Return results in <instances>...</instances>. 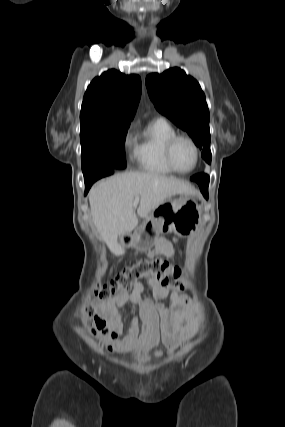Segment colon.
I'll use <instances>...</instances> for the list:
<instances>
[{"instance_id":"obj_1","label":"colon","mask_w":285,"mask_h":427,"mask_svg":"<svg viewBox=\"0 0 285 427\" xmlns=\"http://www.w3.org/2000/svg\"><path fill=\"white\" fill-rule=\"evenodd\" d=\"M140 279H152L162 287H176L183 289L186 282L179 267L170 266L162 258H143L135 265L124 268L109 283L98 284L95 295L101 300H107L116 294H121L131 288ZM86 324L93 334L105 338H114L115 335L106 327L105 321L95 314L94 308H85Z\"/></svg>"}]
</instances>
